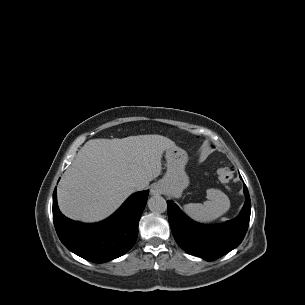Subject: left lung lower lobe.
<instances>
[{
    "mask_svg": "<svg viewBox=\"0 0 305 305\" xmlns=\"http://www.w3.org/2000/svg\"><path fill=\"white\" fill-rule=\"evenodd\" d=\"M246 201L240 214L225 223L204 225L188 218L179 207L168 200L169 224L178 245L187 253L213 261L236 248L249 225L251 203L244 185Z\"/></svg>",
    "mask_w": 305,
    "mask_h": 305,
    "instance_id": "0a47b994",
    "label": "left lung lower lobe"
}]
</instances>
